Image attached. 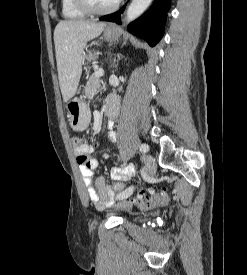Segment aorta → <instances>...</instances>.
Returning <instances> with one entry per match:
<instances>
[{"label":"aorta","instance_id":"762f6f07","mask_svg":"<svg viewBox=\"0 0 247 275\" xmlns=\"http://www.w3.org/2000/svg\"><path fill=\"white\" fill-rule=\"evenodd\" d=\"M152 0H132L126 12V22L129 23L138 18L149 7Z\"/></svg>","mask_w":247,"mask_h":275}]
</instances>
